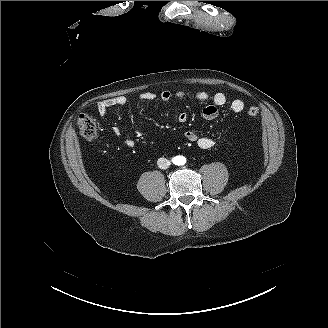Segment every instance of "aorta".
Returning a JSON list of instances; mask_svg holds the SVG:
<instances>
[{
    "mask_svg": "<svg viewBox=\"0 0 328 328\" xmlns=\"http://www.w3.org/2000/svg\"><path fill=\"white\" fill-rule=\"evenodd\" d=\"M186 163V158L183 156H178L176 159L177 165H184Z\"/></svg>",
    "mask_w": 328,
    "mask_h": 328,
    "instance_id": "aorta-1",
    "label": "aorta"
}]
</instances>
